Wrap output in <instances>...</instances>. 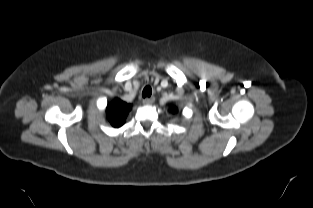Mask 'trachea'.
Here are the masks:
<instances>
[{
	"mask_svg": "<svg viewBox=\"0 0 313 208\" xmlns=\"http://www.w3.org/2000/svg\"><path fill=\"white\" fill-rule=\"evenodd\" d=\"M152 94V89L150 86H146L144 89H143V92H142V96L143 98L145 97H150Z\"/></svg>",
	"mask_w": 313,
	"mask_h": 208,
	"instance_id": "3493384b",
	"label": "trachea"
}]
</instances>
